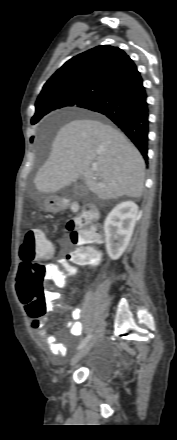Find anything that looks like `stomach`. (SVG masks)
<instances>
[{"instance_id":"obj_1","label":"stomach","mask_w":177,"mask_h":440,"mask_svg":"<svg viewBox=\"0 0 177 440\" xmlns=\"http://www.w3.org/2000/svg\"><path fill=\"white\" fill-rule=\"evenodd\" d=\"M43 206L46 210L54 209L53 205L51 204V199L49 198L44 201Z\"/></svg>"}]
</instances>
